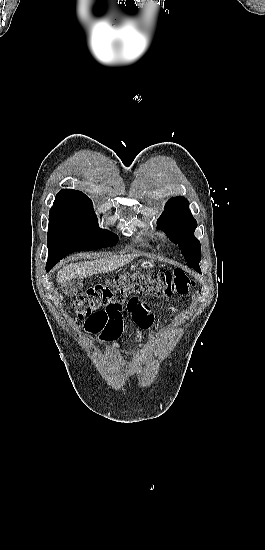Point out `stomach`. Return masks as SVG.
I'll list each match as a JSON object with an SVG mask.
<instances>
[{
  "label": "stomach",
  "mask_w": 265,
  "mask_h": 550,
  "mask_svg": "<svg viewBox=\"0 0 265 550\" xmlns=\"http://www.w3.org/2000/svg\"><path fill=\"white\" fill-rule=\"evenodd\" d=\"M155 266V261L152 259L142 260L138 264L139 269H150Z\"/></svg>",
  "instance_id": "0dacf381"
}]
</instances>
